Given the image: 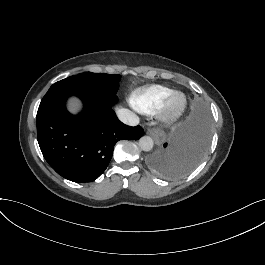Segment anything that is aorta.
Segmentation results:
<instances>
[{
	"instance_id": "1",
	"label": "aorta",
	"mask_w": 265,
	"mask_h": 265,
	"mask_svg": "<svg viewBox=\"0 0 265 265\" xmlns=\"http://www.w3.org/2000/svg\"><path fill=\"white\" fill-rule=\"evenodd\" d=\"M153 144V140L149 136H143L139 140V147L141 148V150L146 152L150 151L153 148Z\"/></svg>"
}]
</instances>
